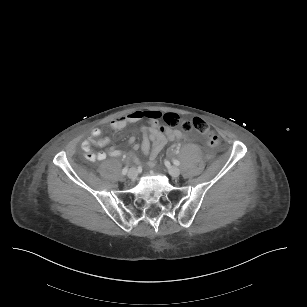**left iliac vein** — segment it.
Masks as SVG:
<instances>
[{"label": "left iliac vein", "instance_id": "obj_1", "mask_svg": "<svg viewBox=\"0 0 307 307\" xmlns=\"http://www.w3.org/2000/svg\"><path fill=\"white\" fill-rule=\"evenodd\" d=\"M168 173L171 175L172 178H177L180 175V171L176 166L169 167Z\"/></svg>", "mask_w": 307, "mask_h": 307}]
</instances>
